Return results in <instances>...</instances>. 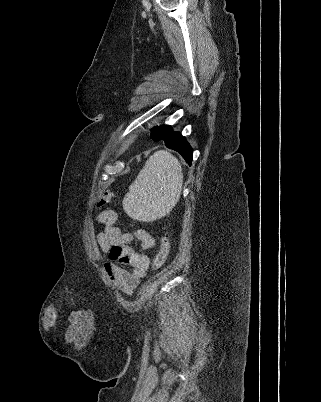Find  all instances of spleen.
Instances as JSON below:
<instances>
[{"instance_id":"3e777b00","label":"spleen","mask_w":321,"mask_h":402,"mask_svg":"<svg viewBox=\"0 0 321 402\" xmlns=\"http://www.w3.org/2000/svg\"><path fill=\"white\" fill-rule=\"evenodd\" d=\"M183 184L179 160L165 150L156 151L146 161L123 200V209L138 221H154L165 216L179 201Z\"/></svg>"}]
</instances>
